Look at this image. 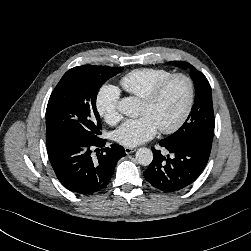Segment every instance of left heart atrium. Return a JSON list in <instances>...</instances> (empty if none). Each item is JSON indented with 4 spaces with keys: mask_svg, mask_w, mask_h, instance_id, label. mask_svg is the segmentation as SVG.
<instances>
[{
    "mask_svg": "<svg viewBox=\"0 0 251 251\" xmlns=\"http://www.w3.org/2000/svg\"><path fill=\"white\" fill-rule=\"evenodd\" d=\"M157 129L154 120L149 115H143L126 120L114 133V139L123 146L135 147L153 138Z\"/></svg>",
    "mask_w": 251,
    "mask_h": 251,
    "instance_id": "left-heart-atrium-1",
    "label": "left heart atrium"
}]
</instances>
